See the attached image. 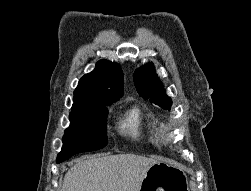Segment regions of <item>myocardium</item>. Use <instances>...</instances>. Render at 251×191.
<instances>
[{
  "label": "myocardium",
  "instance_id": "1",
  "mask_svg": "<svg viewBox=\"0 0 251 191\" xmlns=\"http://www.w3.org/2000/svg\"><path fill=\"white\" fill-rule=\"evenodd\" d=\"M163 140H164V144H166V142L168 141V137H164Z\"/></svg>",
  "mask_w": 251,
  "mask_h": 191
}]
</instances>
